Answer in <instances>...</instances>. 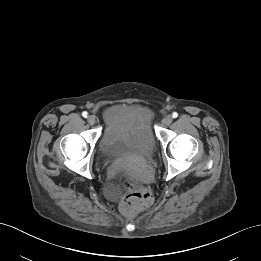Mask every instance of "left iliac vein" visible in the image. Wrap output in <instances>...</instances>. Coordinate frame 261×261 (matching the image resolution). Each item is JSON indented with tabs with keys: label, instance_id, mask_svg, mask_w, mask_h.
<instances>
[{
	"label": "left iliac vein",
	"instance_id": "obj_1",
	"mask_svg": "<svg viewBox=\"0 0 261 261\" xmlns=\"http://www.w3.org/2000/svg\"><path fill=\"white\" fill-rule=\"evenodd\" d=\"M172 121H173V118H172L171 115H166V116L164 117V119H163V123H164L165 125H170V124L172 123Z\"/></svg>",
	"mask_w": 261,
	"mask_h": 261
}]
</instances>
